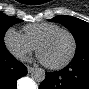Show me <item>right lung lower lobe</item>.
<instances>
[{
	"mask_svg": "<svg viewBox=\"0 0 89 89\" xmlns=\"http://www.w3.org/2000/svg\"><path fill=\"white\" fill-rule=\"evenodd\" d=\"M26 74V67L7 49L0 50V89H15L17 80Z\"/></svg>",
	"mask_w": 89,
	"mask_h": 89,
	"instance_id": "1",
	"label": "right lung lower lobe"
}]
</instances>
